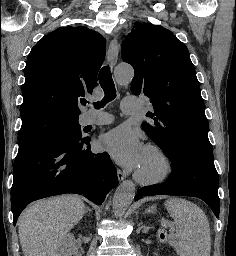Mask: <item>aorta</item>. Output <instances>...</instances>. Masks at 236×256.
Here are the masks:
<instances>
[{"instance_id": "aorta-1", "label": "aorta", "mask_w": 236, "mask_h": 256, "mask_svg": "<svg viewBox=\"0 0 236 256\" xmlns=\"http://www.w3.org/2000/svg\"><path fill=\"white\" fill-rule=\"evenodd\" d=\"M134 70L130 65L121 64L115 69V79L120 85L132 81ZM135 197V185L132 181H123L113 196V211L116 217H122Z\"/></svg>"}]
</instances>
